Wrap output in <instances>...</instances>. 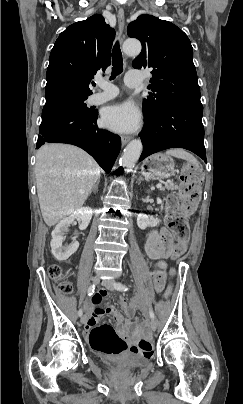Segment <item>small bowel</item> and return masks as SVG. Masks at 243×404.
<instances>
[{
    "mask_svg": "<svg viewBox=\"0 0 243 404\" xmlns=\"http://www.w3.org/2000/svg\"><path fill=\"white\" fill-rule=\"evenodd\" d=\"M170 234L166 229H160L159 231H153L145 243V252L147 256L151 259L156 260V267L164 269L166 264L161 258L165 257L168 253V244L170 242ZM171 275H174V269H170ZM171 289L169 288L166 295H169ZM107 296L105 290H99L92 298L93 308L90 310L85 322V332H88L99 320V318L105 314H112L117 321V333L120 337L126 339L127 341L133 343L139 336L140 330L137 329L134 333H131V327L134 325V321H123L121 315L118 313L116 308L109 304L107 307H102V300Z\"/></svg>",
    "mask_w": 243,
    "mask_h": 404,
    "instance_id": "small-bowel-1",
    "label": "small bowel"
}]
</instances>
